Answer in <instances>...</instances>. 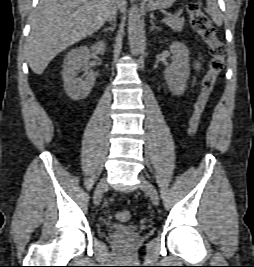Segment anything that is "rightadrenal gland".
<instances>
[{
  "label": "right adrenal gland",
  "instance_id": "obj_1",
  "mask_svg": "<svg viewBox=\"0 0 254 267\" xmlns=\"http://www.w3.org/2000/svg\"><path fill=\"white\" fill-rule=\"evenodd\" d=\"M115 27H116V24L113 23V25L111 27H107V28H104L103 31L104 32H107V31H114L115 30Z\"/></svg>",
  "mask_w": 254,
  "mask_h": 267
}]
</instances>
